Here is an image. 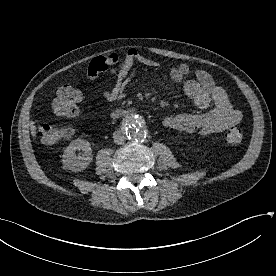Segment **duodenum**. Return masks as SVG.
Masks as SVG:
<instances>
[{
  "mask_svg": "<svg viewBox=\"0 0 276 276\" xmlns=\"http://www.w3.org/2000/svg\"><path fill=\"white\" fill-rule=\"evenodd\" d=\"M124 115V112L122 110H115L113 113H112V116L114 118H120Z\"/></svg>",
  "mask_w": 276,
  "mask_h": 276,
  "instance_id": "410a0bca",
  "label": "duodenum"
}]
</instances>
